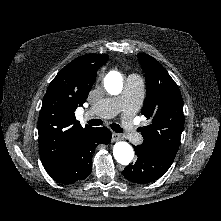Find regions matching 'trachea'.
<instances>
[{
	"instance_id": "obj_1",
	"label": "trachea",
	"mask_w": 221,
	"mask_h": 221,
	"mask_svg": "<svg viewBox=\"0 0 221 221\" xmlns=\"http://www.w3.org/2000/svg\"><path fill=\"white\" fill-rule=\"evenodd\" d=\"M88 124L91 126H99L103 124V121L101 119H92L88 121ZM110 127L118 133H122L123 129L118 124H111Z\"/></svg>"
}]
</instances>
